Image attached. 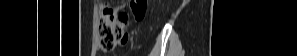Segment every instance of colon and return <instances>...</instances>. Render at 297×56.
Instances as JSON below:
<instances>
[{"mask_svg":"<svg viewBox=\"0 0 297 56\" xmlns=\"http://www.w3.org/2000/svg\"><path fill=\"white\" fill-rule=\"evenodd\" d=\"M147 8L146 0H133L130 10L137 21L144 18ZM128 13L123 8L106 6L98 23V49L104 53L112 51L119 45V36L125 33Z\"/></svg>","mask_w":297,"mask_h":56,"instance_id":"obj_1","label":"colon"}]
</instances>
